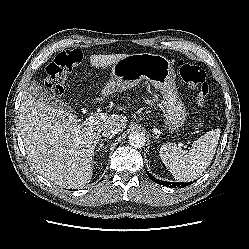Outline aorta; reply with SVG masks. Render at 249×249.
Listing matches in <instances>:
<instances>
[{"label":"aorta","instance_id":"aorta-1","mask_svg":"<svg viewBox=\"0 0 249 249\" xmlns=\"http://www.w3.org/2000/svg\"><path fill=\"white\" fill-rule=\"evenodd\" d=\"M128 142L133 148H142L146 143V137L142 132L133 131L128 136Z\"/></svg>","mask_w":249,"mask_h":249}]
</instances>
